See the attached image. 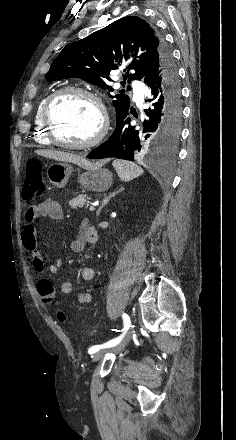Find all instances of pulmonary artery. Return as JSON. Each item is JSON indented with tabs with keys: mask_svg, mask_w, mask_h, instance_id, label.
I'll use <instances>...</instances> for the list:
<instances>
[{
	"mask_svg": "<svg viewBox=\"0 0 236 440\" xmlns=\"http://www.w3.org/2000/svg\"><path fill=\"white\" fill-rule=\"evenodd\" d=\"M133 83V87H134V92H135V99L137 102H141L142 100V93L144 92L145 88L142 84L141 81L135 80L132 82Z\"/></svg>",
	"mask_w": 236,
	"mask_h": 440,
	"instance_id": "e3ab8cb5",
	"label": "pulmonary artery"
}]
</instances>
